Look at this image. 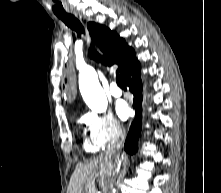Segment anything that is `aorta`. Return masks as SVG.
Instances as JSON below:
<instances>
[{"label": "aorta", "mask_w": 221, "mask_h": 193, "mask_svg": "<svg viewBox=\"0 0 221 193\" xmlns=\"http://www.w3.org/2000/svg\"><path fill=\"white\" fill-rule=\"evenodd\" d=\"M79 88L85 103L92 111L102 113L107 110L108 101L93 67L87 66L80 70Z\"/></svg>", "instance_id": "aorta-1"}]
</instances>
